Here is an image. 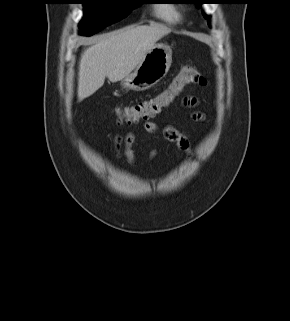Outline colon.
Masks as SVG:
<instances>
[{
  "label": "colon",
  "mask_w": 290,
  "mask_h": 321,
  "mask_svg": "<svg viewBox=\"0 0 290 321\" xmlns=\"http://www.w3.org/2000/svg\"><path fill=\"white\" fill-rule=\"evenodd\" d=\"M204 75L193 66L184 67L172 83L158 95L142 100L134 105L115 108L118 123L135 124L157 116L169 107L188 85H206Z\"/></svg>",
  "instance_id": "5ec220e1"
}]
</instances>
